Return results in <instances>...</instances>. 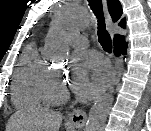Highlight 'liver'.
Segmentation results:
<instances>
[{"label":"liver","mask_w":151,"mask_h":131,"mask_svg":"<svg viewBox=\"0 0 151 131\" xmlns=\"http://www.w3.org/2000/svg\"><path fill=\"white\" fill-rule=\"evenodd\" d=\"M61 122L59 112L32 107L15 112L8 121L6 131H59Z\"/></svg>","instance_id":"1"}]
</instances>
